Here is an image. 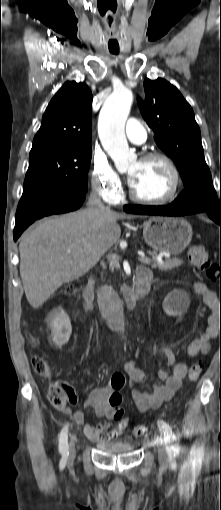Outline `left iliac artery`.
Listing matches in <instances>:
<instances>
[{"label": "left iliac artery", "mask_w": 221, "mask_h": 510, "mask_svg": "<svg viewBox=\"0 0 221 510\" xmlns=\"http://www.w3.org/2000/svg\"><path fill=\"white\" fill-rule=\"evenodd\" d=\"M158 424L161 426L164 433V441L167 444V451L171 450L175 453L179 452L180 447L178 443V438L172 431V428L165 421L160 420ZM172 441V446L170 447V442Z\"/></svg>", "instance_id": "obj_1"}]
</instances>
